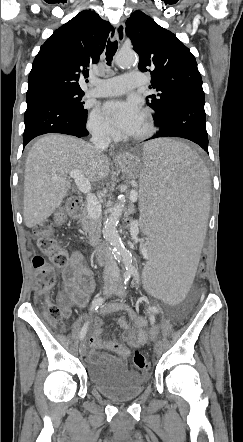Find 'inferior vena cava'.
Returning a JSON list of instances; mask_svg holds the SVG:
<instances>
[{
  "mask_svg": "<svg viewBox=\"0 0 243 442\" xmlns=\"http://www.w3.org/2000/svg\"><path fill=\"white\" fill-rule=\"evenodd\" d=\"M91 135H92L91 142L95 148L96 155L97 157H101L103 151H105L108 148L111 142L109 133L105 127L95 126L91 129ZM104 258H105L104 276L106 278L117 279L119 277V268L110 250L106 246H104Z\"/></svg>",
  "mask_w": 243,
  "mask_h": 442,
  "instance_id": "602c4592",
  "label": "inferior vena cava"
}]
</instances>
